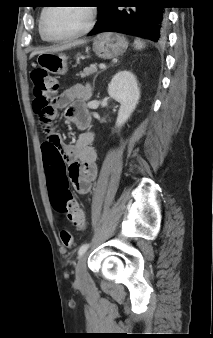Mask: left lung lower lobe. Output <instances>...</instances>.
<instances>
[{
  "mask_svg": "<svg viewBox=\"0 0 213 338\" xmlns=\"http://www.w3.org/2000/svg\"><path fill=\"white\" fill-rule=\"evenodd\" d=\"M164 4L163 0H101L98 22L88 35L112 31L163 43L167 36Z\"/></svg>",
  "mask_w": 213,
  "mask_h": 338,
  "instance_id": "0a47b994",
  "label": "left lung lower lobe"
}]
</instances>
